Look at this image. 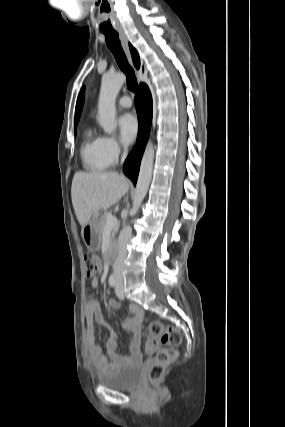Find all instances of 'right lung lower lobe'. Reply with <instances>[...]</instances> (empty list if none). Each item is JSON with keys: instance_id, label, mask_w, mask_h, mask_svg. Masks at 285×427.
<instances>
[{"instance_id": "1", "label": "right lung lower lobe", "mask_w": 285, "mask_h": 427, "mask_svg": "<svg viewBox=\"0 0 285 427\" xmlns=\"http://www.w3.org/2000/svg\"><path fill=\"white\" fill-rule=\"evenodd\" d=\"M139 121V136L136 148L127 157L123 171L136 185L141 158L149 136L152 121V97L146 84H140L135 96Z\"/></svg>"}]
</instances>
